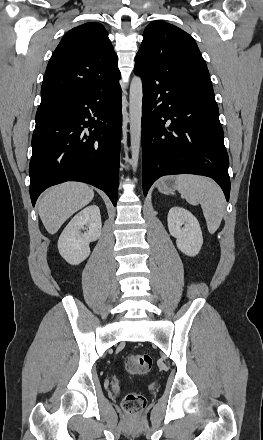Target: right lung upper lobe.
I'll list each match as a JSON object with an SVG mask.
<instances>
[{
    "mask_svg": "<svg viewBox=\"0 0 263 440\" xmlns=\"http://www.w3.org/2000/svg\"><path fill=\"white\" fill-rule=\"evenodd\" d=\"M118 78V58L104 26L85 23L71 29L50 58L39 107Z\"/></svg>",
    "mask_w": 263,
    "mask_h": 440,
    "instance_id": "obj_1",
    "label": "right lung upper lobe"
}]
</instances>
